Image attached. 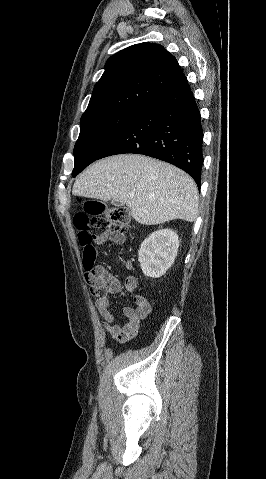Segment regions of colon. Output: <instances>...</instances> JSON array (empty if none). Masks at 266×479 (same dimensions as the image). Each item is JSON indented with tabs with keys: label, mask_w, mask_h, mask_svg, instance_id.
Returning <instances> with one entry per match:
<instances>
[{
	"label": "colon",
	"mask_w": 266,
	"mask_h": 479,
	"mask_svg": "<svg viewBox=\"0 0 266 479\" xmlns=\"http://www.w3.org/2000/svg\"><path fill=\"white\" fill-rule=\"evenodd\" d=\"M83 211L74 216V227L82 249V267L93 295L98 294L92 271L97 257L96 247L91 244L92 229L108 230L125 236L128 230L129 214L124 207L108 205L100 200L87 199L82 203Z\"/></svg>",
	"instance_id": "obj_1"
}]
</instances>
